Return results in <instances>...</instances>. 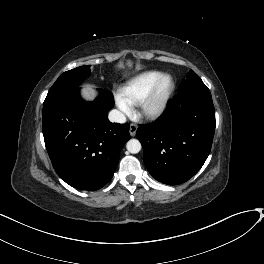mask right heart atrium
<instances>
[{"mask_svg": "<svg viewBox=\"0 0 264 264\" xmlns=\"http://www.w3.org/2000/svg\"><path fill=\"white\" fill-rule=\"evenodd\" d=\"M115 100L118 108L124 115H130L132 113V106L128 102H126L120 95H116Z\"/></svg>", "mask_w": 264, "mask_h": 264, "instance_id": "d8ad5b80", "label": "right heart atrium"}]
</instances>
